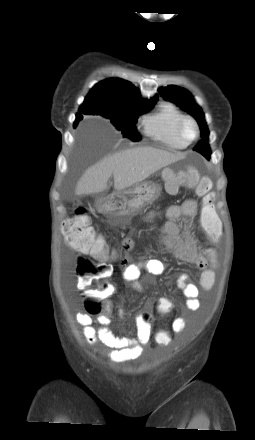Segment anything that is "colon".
Instances as JSON below:
<instances>
[{"label": "colon", "instance_id": "5ec220e1", "mask_svg": "<svg viewBox=\"0 0 255 440\" xmlns=\"http://www.w3.org/2000/svg\"><path fill=\"white\" fill-rule=\"evenodd\" d=\"M165 188L169 193H175L180 186L193 190L196 196L202 198L200 210V222L202 226L214 231L217 226V213L214 203V194L211 190V181L208 177H201L196 169L189 168L184 171H168L164 174ZM63 234L66 243L75 251L80 253L76 259L79 284L87 288L93 283L106 280L111 275L112 267L108 263H95L92 259L82 255L92 253L99 259H106L111 256L118 257V254L111 250L104 239L94 233L91 227L89 215L83 208L76 210L75 214L64 220L62 224ZM112 292V287L107 285L98 291L88 293L89 297L104 298ZM155 306H158L161 316H168L174 309V298H155ZM88 308L95 313L99 310L97 302H88ZM153 339L159 348H166L171 345V336L168 330H157Z\"/></svg>", "mask_w": 255, "mask_h": 440}]
</instances>
